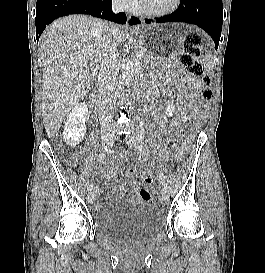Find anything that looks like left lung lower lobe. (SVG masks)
<instances>
[{"mask_svg":"<svg viewBox=\"0 0 265 273\" xmlns=\"http://www.w3.org/2000/svg\"><path fill=\"white\" fill-rule=\"evenodd\" d=\"M156 23L185 22L204 29L218 48L223 22L222 0H181L179 9L173 14L154 20ZM151 23V20H145Z\"/></svg>","mask_w":265,"mask_h":273,"instance_id":"1","label":"left lung lower lobe"}]
</instances>
